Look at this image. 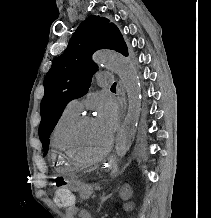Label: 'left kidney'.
Wrapping results in <instances>:
<instances>
[{
  "label": "left kidney",
  "instance_id": "left-kidney-1",
  "mask_svg": "<svg viewBox=\"0 0 211 218\" xmlns=\"http://www.w3.org/2000/svg\"><path fill=\"white\" fill-rule=\"evenodd\" d=\"M125 215H130V207H125Z\"/></svg>",
  "mask_w": 211,
  "mask_h": 218
}]
</instances>
